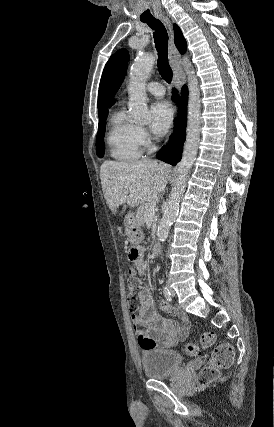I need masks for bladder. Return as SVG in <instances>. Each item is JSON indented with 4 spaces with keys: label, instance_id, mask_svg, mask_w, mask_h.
Listing matches in <instances>:
<instances>
[{
    "label": "bladder",
    "instance_id": "obj_1",
    "mask_svg": "<svg viewBox=\"0 0 274 427\" xmlns=\"http://www.w3.org/2000/svg\"><path fill=\"white\" fill-rule=\"evenodd\" d=\"M140 362L144 374L152 380L171 378L182 367L179 353L172 349H145Z\"/></svg>",
    "mask_w": 274,
    "mask_h": 427
}]
</instances>
